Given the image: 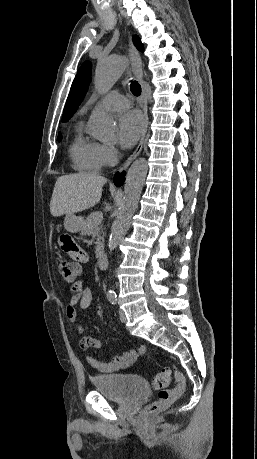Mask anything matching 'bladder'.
<instances>
[{"label":"bladder","mask_w":257,"mask_h":459,"mask_svg":"<svg viewBox=\"0 0 257 459\" xmlns=\"http://www.w3.org/2000/svg\"><path fill=\"white\" fill-rule=\"evenodd\" d=\"M92 384L106 398L123 404L150 394V387L145 380L128 373L96 375L92 378Z\"/></svg>","instance_id":"31cf9c89"}]
</instances>
